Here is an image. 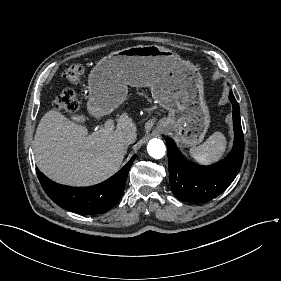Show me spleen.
<instances>
[{
  "mask_svg": "<svg viewBox=\"0 0 281 281\" xmlns=\"http://www.w3.org/2000/svg\"><path fill=\"white\" fill-rule=\"evenodd\" d=\"M228 140L222 131H216L204 144L188 150L194 162L210 166L218 163L227 150Z\"/></svg>",
  "mask_w": 281,
  "mask_h": 281,
  "instance_id": "3e777b00",
  "label": "spleen"
}]
</instances>
